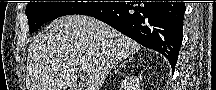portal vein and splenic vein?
<instances>
[{
    "label": "portal vein and splenic vein",
    "mask_w": 216,
    "mask_h": 90,
    "mask_svg": "<svg viewBox=\"0 0 216 90\" xmlns=\"http://www.w3.org/2000/svg\"><path fill=\"white\" fill-rule=\"evenodd\" d=\"M82 70L83 72H87L88 68H86V66H82Z\"/></svg>",
    "instance_id": "1"
}]
</instances>
